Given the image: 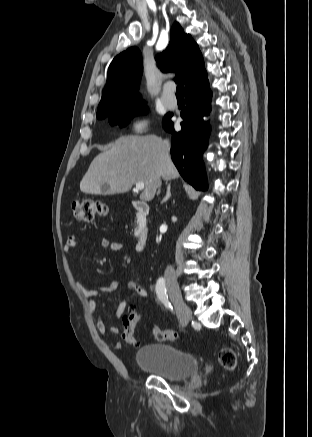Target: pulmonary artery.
<instances>
[{
  "label": "pulmonary artery",
  "mask_w": 312,
  "mask_h": 437,
  "mask_svg": "<svg viewBox=\"0 0 312 437\" xmlns=\"http://www.w3.org/2000/svg\"><path fill=\"white\" fill-rule=\"evenodd\" d=\"M161 100L163 104L169 108L173 109L177 105L176 96L173 94L170 83L166 84L161 91Z\"/></svg>",
  "instance_id": "1"
}]
</instances>
